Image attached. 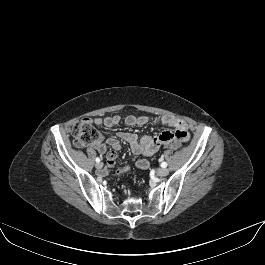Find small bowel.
<instances>
[{"mask_svg":"<svg viewBox=\"0 0 265 265\" xmlns=\"http://www.w3.org/2000/svg\"><path fill=\"white\" fill-rule=\"evenodd\" d=\"M89 121L94 125H104L110 128L118 125L121 118L115 115L105 118H94ZM150 121L151 119L148 116L129 115L125 119L126 124L129 126H143ZM154 122L164 125L169 129L156 136L144 135L142 137H138L136 134L130 132H117L115 137L109 138L106 142L98 141L95 143L94 147L101 154L106 153L107 146L111 148V151L106 153V163L108 167H112L117 158V151L121 148L120 140L127 142L135 155L151 156L155 154L161 146H165L168 139H176L182 143L188 141L190 137L187 124L183 120L171 116H159L154 119ZM136 166L139 169H147L149 163L146 159H139L136 162Z\"/></svg>","mask_w":265,"mask_h":265,"instance_id":"c3829d8e","label":"small bowel"}]
</instances>
